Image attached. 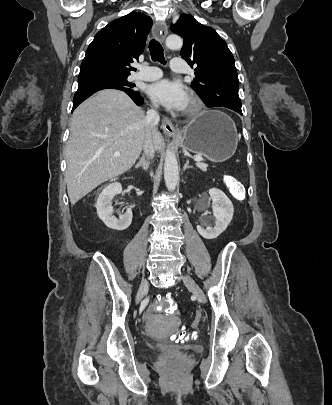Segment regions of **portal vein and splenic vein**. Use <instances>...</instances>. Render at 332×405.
Segmentation results:
<instances>
[{"instance_id":"portal-vein-and-splenic-vein-1","label":"portal vein and splenic vein","mask_w":332,"mask_h":405,"mask_svg":"<svg viewBox=\"0 0 332 405\" xmlns=\"http://www.w3.org/2000/svg\"><path fill=\"white\" fill-rule=\"evenodd\" d=\"M120 155V152L119 151H116L115 153H114V156H119ZM194 160L196 161V162H201L203 159L201 158V157H199V156H195L194 157Z\"/></svg>"}]
</instances>
